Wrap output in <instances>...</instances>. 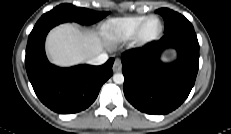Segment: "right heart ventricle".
<instances>
[{
    "instance_id": "1",
    "label": "right heart ventricle",
    "mask_w": 231,
    "mask_h": 134,
    "mask_svg": "<svg viewBox=\"0 0 231 134\" xmlns=\"http://www.w3.org/2000/svg\"><path fill=\"white\" fill-rule=\"evenodd\" d=\"M146 18L144 15H134L109 19L101 25V34L108 42H126L134 37Z\"/></svg>"
}]
</instances>
